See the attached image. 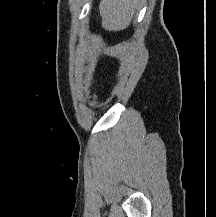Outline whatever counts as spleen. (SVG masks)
<instances>
[{
  "label": "spleen",
  "mask_w": 216,
  "mask_h": 217,
  "mask_svg": "<svg viewBox=\"0 0 216 217\" xmlns=\"http://www.w3.org/2000/svg\"><path fill=\"white\" fill-rule=\"evenodd\" d=\"M139 4L140 0H101L99 10L103 28L112 31L127 28Z\"/></svg>",
  "instance_id": "spleen-1"
}]
</instances>
